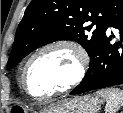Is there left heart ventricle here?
I'll list each match as a JSON object with an SVG mask.
<instances>
[{
  "label": "left heart ventricle",
  "mask_w": 123,
  "mask_h": 113,
  "mask_svg": "<svg viewBox=\"0 0 123 113\" xmlns=\"http://www.w3.org/2000/svg\"><path fill=\"white\" fill-rule=\"evenodd\" d=\"M75 59L65 49L47 51L28 67L25 81L30 92L45 94L63 84L74 73Z\"/></svg>",
  "instance_id": "1"
}]
</instances>
